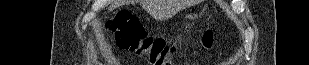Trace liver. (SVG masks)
<instances>
[{
    "label": "liver",
    "mask_w": 309,
    "mask_h": 65,
    "mask_svg": "<svg viewBox=\"0 0 309 65\" xmlns=\"http://www.w3.org/2000/svg\"><path fill=\"white\" fill-rule=\"evenodd\" d=\"M121 0H116L114 3L109 7L110 10L117 8L121 4ZM161 1L157 0H146L143 2L145 9H147L150 13H153L160 5Z\"/></svg>",
    "instance_id": "6515ba94"
}]
</instances>
